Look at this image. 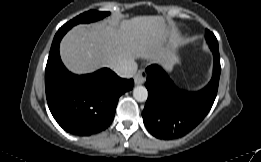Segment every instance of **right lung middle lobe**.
I'll list each match as a JSON object with an SVG mask.
<instances>
[{
    "label": "right lung middle lobe",
    "instance_id": "obj_1",
    "mask_svg": "<svg viewBox=\"0 0 261 162\" xmlns=\"http://www.w3.org/2000/svg\"><path fill=\"white\" fill-rule=\"evenodd\" d=\"M107 15H109V12H99V11H94V10L87 11V12L75 17L68 23L64 24V27L72 28L76 24L97 21L99 19L104 18Z\"/></svg>",
    "mask_w": 261,
    "mask_h": 162
}]
</instances>
